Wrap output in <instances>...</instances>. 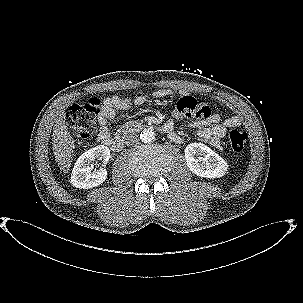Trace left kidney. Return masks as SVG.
Instances as JSON below:
<instances>
[{
	"mask_svg": "<svg viewBox=\"0 0 303 303\" xmlns=\"http://www.w3.org/2000/svg\"><path fill=\"white\" fill-rule=\"evenodd\" d=\"M185 160L189 170L205 178L222 177L228 168L227 162L202 143H191L185 149Z\"/></svg>",
	"mask_w": 303,
	"mask_h": 303,
	"instance_id": "obj_1",
	"label": "left kidney"
}]
</instances>
